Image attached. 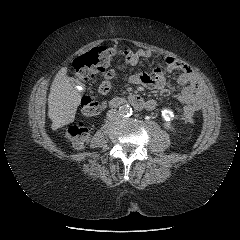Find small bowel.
Segmentation results:
<instances>
[{
  "label": "small bowel",
  "instance_id": "c3829d8e",
  "mask_svg": "<svg viewBox=\"0 0 240 240\" xmlns=\"http://www.w3.org/2000/svg\"><path fill=\"white\" fill-rule=\"evenodd\" d=\"M154 55V52L149 49H139L136 52L127 50L124 52V62L117 68L111 69L104 73L102 81L98 85L97 91L99 94H107L112 86V80L117 71L125 67H135L141 59H146ZM166 69L168 71L181 72L178 77V84L183 86L182 91L177 95V100L187 106H190L194 111H198L203 104L200 85L194 71L182 61L171 56L164 58ZM129 81L133 84H140L147 87L155 88L159 91H164L167 88L166 80L163 72L160 69H154L151 72H139L130 75ZM103 102V106H106ZM157 103L154 99L146 102V108L153 110Z\"/></svg>",
  "mask_w": 240,
  "mask_h": 240
}]
</instances>
